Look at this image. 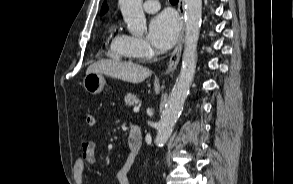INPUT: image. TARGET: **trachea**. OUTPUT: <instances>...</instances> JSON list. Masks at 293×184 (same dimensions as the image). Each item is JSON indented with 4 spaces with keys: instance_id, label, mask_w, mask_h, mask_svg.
Returning <instances> with one entry per match:
<instances>
[{
    "instance_id": "trachea-1",
    "label": "trachea",
    "mask_w": 293,
    "mask_h": 184,
    "mask_svg": "<svg viewBox=\"0 0 293 184\" xmlns=\"http://www.w3.org/2000/svg\"><path fill=\"white\" fill-rule=\"evenodd\" d=\"M170 2H172V3H177L178 0H170Z\"/></svg>"
}]
</instances>
